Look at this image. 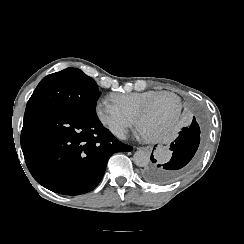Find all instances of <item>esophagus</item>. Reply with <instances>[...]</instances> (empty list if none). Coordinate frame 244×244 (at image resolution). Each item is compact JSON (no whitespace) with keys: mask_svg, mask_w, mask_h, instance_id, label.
I'll use <instances>...</instances> for the list:
<instances>
[{"mask_svg":"<svg viewBox=\"0 0 244 244\" xmlns=\"http://www.w3.org/2000/svg\"><path fill=\"white\" fill-rule=\"evenodd\" d=\"M138 149L144 150L146 152H151L153 149V146H142V147H139Z\"/></svg>","mask_w":244,"mask_h":244,"instance_id":"obj_1","label":"esophagus"}]
</instances>
